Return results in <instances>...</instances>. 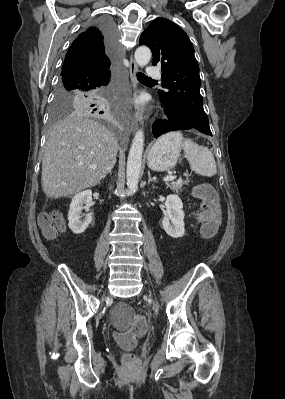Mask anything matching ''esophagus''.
I'll return each mask as SVG.
<instances>
[{
  "label": "esophagus",
  "mask_w": 285,
  "mask_h": 399,
  "mask_svg": "<svg viewBox=\"0 0 285 399\" xmlns=\"http://www.w3.org/2000/svg\"><path fill=\"white\" fill-rule=\"evenodd\" d=\"M138 66L136 62L134 61L133 56H130V63H129V73H130V79L132 82L133 87L136 89L137 88V79H136V74H137ZM136 95V91H135ZM143 122V114L142 110L140 108H137V111L135 114L131 117V127L134 128L136 126V123Z\"/></svg>",
  "instance_id": "34e87169"
}]
</instances>
